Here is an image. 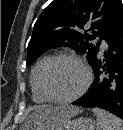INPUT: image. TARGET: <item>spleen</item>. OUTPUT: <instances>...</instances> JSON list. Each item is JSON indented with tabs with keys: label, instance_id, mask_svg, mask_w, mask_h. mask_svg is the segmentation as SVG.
Instances as JSON below:
<instances>
[{
	"label": "spleen",
	"instance_id": "spleen-1",
	"mask_svg": "<svg viewBox=\"0 0 123 130\" xmlns=\"http://www.w3.org/2000/svg\"><path fill=\"white\" fill-rule=\"evenodd\" d=\"M92 111L97 118V130H123V121L114 114L99 108Z\"/></svg>",
	"mask_w": 123,
	"mask_h": 130
}]
</instances>
